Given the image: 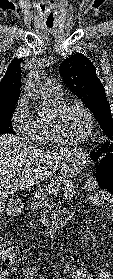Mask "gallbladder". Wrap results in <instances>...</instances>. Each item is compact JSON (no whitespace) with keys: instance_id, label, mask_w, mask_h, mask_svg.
I'll list each match as a JSON object with an SVG mask.
<instances>
[{"instance_id":"obj_1","label":"gallbladder","mask_w":113,"mask_h":279,"mask_svg":"<svg viewBox=\"0 0 113 279\" xmlns=\"http://www.w3.org/2000/svg\"><path fill=\"white\" fill-rule=\"evenodd\" d=\"M5 208V205H4V200L1 199V203H0V212H2Z\"/></svg>"}]
</instances>
